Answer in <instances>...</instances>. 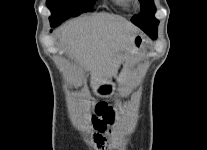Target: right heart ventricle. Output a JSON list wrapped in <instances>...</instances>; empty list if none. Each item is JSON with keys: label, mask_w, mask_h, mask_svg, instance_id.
Masks as SVG:
<instances>
[{"label": "right heart ventricle", "mask_w": 207, "mask_h": 150, "mask_svg": "<svg viewBox=\"0 0 207 150\" xmlns=\"http://www.w3.org/2000/svg\"><path fill=\"white\" fill-rule=\"evenodd\" d=\"M115 2L124 8H127L130 4V0H115Z\"/></svg>", "instance_id": "obj_1"}]
</instances>
